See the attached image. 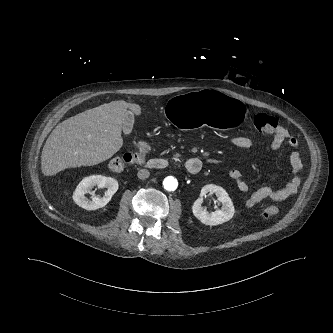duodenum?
<instances>
[{"label": "duodenum", "mask_w": 333, "mask_h": 333, "mask_svg": "<svg viewBox=\"0 0 333 333\" xmlns=\"http://www.w3.org/2000/svg\"><path fill=\"white\" fill-rule=\"evenodd\" d=\"M169 163L163 158L150 159L146 162V167L152 170H163L168 167ZM203 167L202 161L199 158H189L185 162V169L192 175H197L201 172Z\"/></svg>", "instance_id": "obj_1"}]
</instances>
